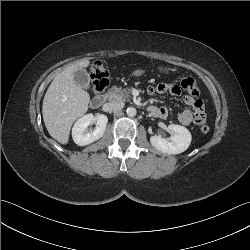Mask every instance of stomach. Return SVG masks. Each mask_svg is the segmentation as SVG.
Returning a JSON list of instances; mask_svg holds the SVG:
<instances>
[{
    "mask_svg": "<svg viewBox=\"0 0 250 250\" xmlns=\"http://www.w3.org/2000/svg\"><path fill=\"white\" fill-rule=\"evenodd\" d=\"M157 70L159 71V73L169 74L170 71H171V68H169V67H167V66H165V65H159V66L157 67ZM144 73H145L144 70H142V69H136V70L133 71L132 75H133L134 77L138 78V77L143 76Z\"/></svg>",
    "mask_w": 250,
    "mask_h": 250,
    "instance_id": "obj_1",
    "label": "stomach"
}]
</instances>
